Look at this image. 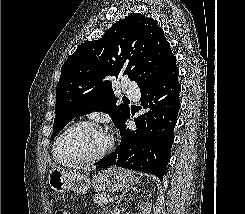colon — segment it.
I'll list each match as a JSON object with an SVG mask.
<instances>
[{"mask_svg": "<svg viewBox=\"0 0 245 214\" xmlns=\"http://www.w3.org/2000/svg\"><path fill=\"white\" fill-rule=\"evenodd\" d=\"M56 214H69V213H67L65 211H58Z\"/></svg>", "mask_w": 245, "mask_h": 214, "instance_id": "obj_1", "label": "colon"}]
</instances>
